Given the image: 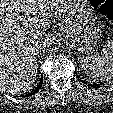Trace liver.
<instances>
[{"instance_id": "obj_1", "label": "liver", "mask_w": 113, "mask_h": 113, "mask_svg": "<svg viewBox=\"0 0 113 113\" xmlns=\"http://www.w3.org/2000/svg\"><path fill=\"white\" fill-rule=\"evenodd\" d=\"M66 0H0V88L32 89L38 72L40 31L65 13Z\"/></svg>"}]
</instances>
